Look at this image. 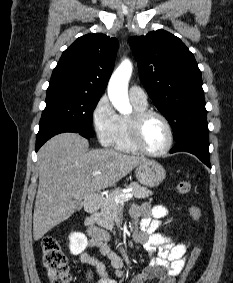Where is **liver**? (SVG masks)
Masks as SVG:
<instances>
[{
	"label": "liver",
	"mask_w": 233,
	"mask_h": 283,
	"mask_svg": "<svg viewBox=\"0 0 233 283\" xmlns=\"http://www.w3.org/2000/svg\"><path fill=\"white\" fill-rule=\"evenodd\" d=\"M145 157L111 149L89 150L88 141L74 132L58 134L38 151L39 186L33 214V238L68 219L78 201L101 188L115 186ZM94 171L100 174L93 176Z\"/></svg>",
	"instance_id": "obj_1"
}]
</instances>
